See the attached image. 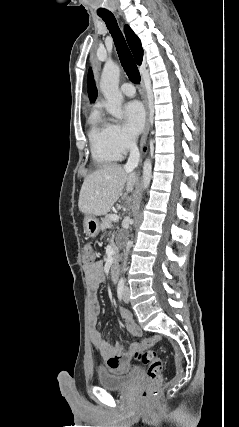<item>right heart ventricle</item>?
Returning a JSON list of instances; mask_svg holds the SVG:
<instances>
[{
	"instance_id": "1",
	"label": "right heart ventricle",
	"mask_w": 239,
	"mask_h": 427,
	"mask_svg": "<svg viewBox=\"0 0 239 427\" xmlns=\"http://www.w3.org/2000/svg\"><path fill=\"white\" fill-rule=\"evenodd\" d=\"M88 136L91 155L97 164H110L120 159L121 155L110 142L107 123L98 112H94L90 117Z\"/></svg>"
}]
</instances>
